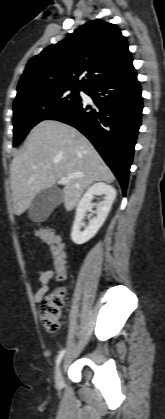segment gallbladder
Segmentation results:
<instances>
[{"mask_svg": "<svg viewBox=\"0 0 165 419\" xmlns=\"http://www.w3.org/2000/svg\"><path fill=\"white\" fill-rule=\"evenodd\" d=\"M63 201V192L55 187L41 190L32 200L29 218L34 222L45 221L51 212Z\"/></svg>", "mask_w": 165, "mask_h": 419, "instance_id": "obj_1", "label": "gallbladder"}]
</instances>
